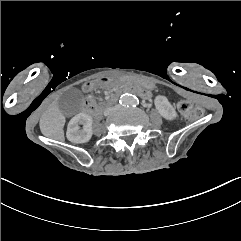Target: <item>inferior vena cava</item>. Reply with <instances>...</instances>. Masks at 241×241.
<instances>
[{
    "label": "inferior vena cava",
    "mask_w": 241,
    "mask_h": 241,
    "mask_svg": "<svg viewBox=\"0 0 241 241\" xmlns=\"http://www.w3.org/2000/svg\"><path fill=\"white\" fill-rule=\"evenodd\" d=\"M111 108H108L104 111V115L107 116L110 114Z\"/></svg>",
    "instance_id": "obj_1"
}]
</instances>
